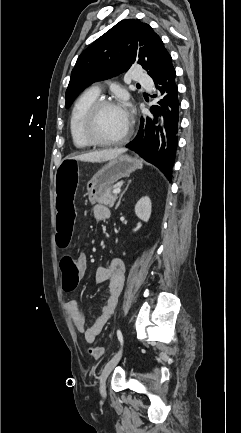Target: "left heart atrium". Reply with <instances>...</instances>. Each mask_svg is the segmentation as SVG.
Returning a JSON list of instances; mask_svg holds the SVG:
<instances>
[{
	"label": "left heart atrium",
	"mask_w": 241,
	"mask_h": 433,
	"mask_svg": "<svg viewBox=\"0 0 241 433\" xmlns=\"http://www.w3.org/2000/svg\"><path fill=\"white\" fill-rule=\"evenodd\" d=\"M122 109H123V111H124L126 117L129 118L128 104H127V103H124V104L122 105Z\"/></svg>",
	"instance_id": "39dd6f15"
}]
</instances>
